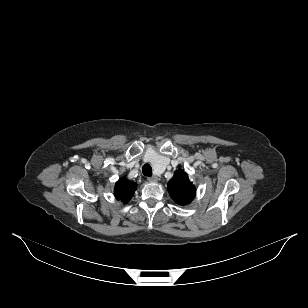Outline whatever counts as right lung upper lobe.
<instances>
[{
    "instance_id": "cb5924a9",
    "label": "right lung upper lobe",
    "mask_w": 308,
    "mask_h": 308,
    "mask_svg": "<svg viewBox=\"0 0 308 308\" xmlns=\"http://www.w3.org/2000/svg\"><path fill=\"white\" fill-rule=\"evenodd\" d=\"M136 184L125 179H121L115 186V197L126 203L130 200L136 190Z\"/></svg>"
}]
</instances>
